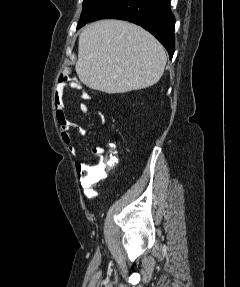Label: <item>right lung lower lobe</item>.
Returning a JSON list of instances; mask_svg holds the SVG:
<instances>
[{
    "label": "right lung lower lobe",
    "instance_id": "right-lung-lower-lobe-1",
    "mask_svg": "<svg viewBox=\"0 0 240 287\" xmlns=\"http://www.w3.org/2000/svg\"><path fill=\"white\" fill-rule=\"evenodd\" d=\"M99 19H120L142 26L164 45L172 59L175 18L169 0H109L91 22Z\"/></svg>",
    "mask_w": 240,
    "mask_h": 287
}]
</instances>
